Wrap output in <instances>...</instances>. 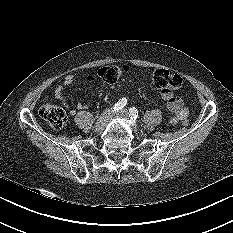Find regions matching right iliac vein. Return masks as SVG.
Wrapping results in <instances>:
<instances>
[{
    "mask_svg": "<svg viewBox=\"0 0 233 233\" xmlns=\"http://www.w3.org/2000/svg\"><path fill=\"white\" fill-rule=\"evenodd\" d=\"M111 116H112V110H110V109L105 110L97 119V121L94 125V131L97 133H101L104 130V128H105L108 120L111 118Z\"/></svg>",
    "mask_w": 233,
    "mask_h": 233,
    "instance_id": "63e3f726",
    "label": "right iliac vein"
}]
</instances>
